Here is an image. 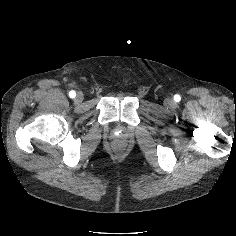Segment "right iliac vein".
<instances>
[{
    "mask_svg": "<svg viewBox=\"0 0 236 236\" xmlns=\"http://www.w3.org/2000/svg\"><path fill=\"white\" fill-rule=\"evenodd\" d=\"M84 99V95L83 93L79 92L77 95H76V98H75V102L76 103H81Z\"/></svg>",
    "mask_w": 236,
    "mask_h": 236,
    "instance_id": "right-iliac-vein-1",
    "label": "right iliac vein"
}]
</instances>
